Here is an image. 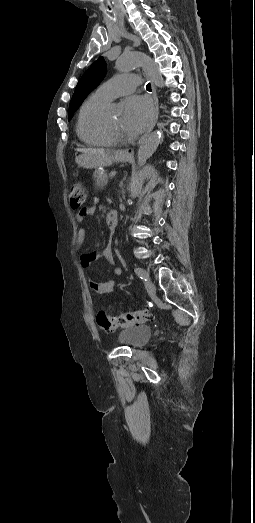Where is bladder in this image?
Listing matches in <instances>:
<instances>
[{
	"mask_svg": "<svg viewBox=\"0 0 255 523\" xmlns=\"http://www.w3.org/2000/svg\"><path fill=\"white\" fill-rule=\"evenodd\" d=\"M152 328L146 325L124 328L118 334V341L130 347L144 345L151 338Z\"/></svg>",
	"mask_w": 255,
	"mask_h": 523,
	"instance_id": "obj_1",
	"label": "bladder"
}]
</instances>
